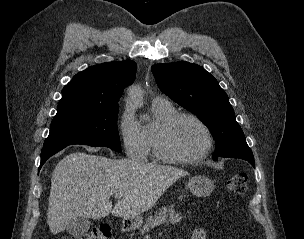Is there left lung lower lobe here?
Here are the masks:
<instances>
[{"label":"left lung lower lobe","instance_id":"left-lung-lower-lobe-1","mask_svg":"<svg viewBox=\"0 0 304 239\" xmlns=\"http://www.w3.org/2000/svg\"><path fill=\"white\" fill-rule=\"evenodd\" d=\"M247 161H248L253 167L255 166V161H254V160L247 159Z\"/></svg>","mask_w":304,"mask_h":239}]
</instances>
